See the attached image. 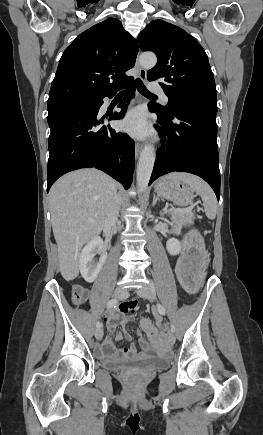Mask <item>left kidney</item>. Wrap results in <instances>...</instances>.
<instances>
[{
	"label": "left kidney",
	"instance_id": "5707ae66",
	"mask_svg": "<svg viewBox=\"0 0 263 435\" xmlns=\"http://www.w3.org/2000/svg\"><path fill=\"white\" fill-rule=\"evenodd\" d=\"M176 232L180 234L181 225L176 228ZM182 245L176 238H171L166 243V249L170 255H178L181 252Z\"/></svg>",
	"mask_w": 263,
	"mask_h": 435
}]
</instances>
